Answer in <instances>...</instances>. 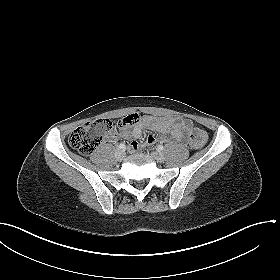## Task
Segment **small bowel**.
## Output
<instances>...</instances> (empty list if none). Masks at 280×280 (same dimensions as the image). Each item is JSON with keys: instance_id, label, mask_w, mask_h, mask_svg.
<instances>
[{"instance_id": "c3829d8e", "label": "small bowel", "mask_w": 280, "mask_h": 280, "mask_svg": "<svg viewBox=\"0 0 280 280\" xmlns=\"http://www.w3.org/2000/svg\"><path fill=\"white\" fill-rule=\"evenodd\" d=\"M191 127V121L177 117L157 118L155 116H143L133 127L130 129L124 126L119 135L115 138L122 137L126 139H137L142 135L144 128H150L162 133H170L175 139L180 140L183 138L185 132ZM158 141L153 133H149L145 139V146H153ZM141 145L133 146L130 143L131 150H137Z\"/></svg>"}]
</instances>
